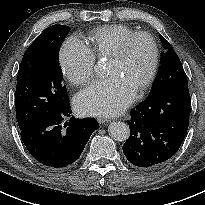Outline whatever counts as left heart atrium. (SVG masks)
Wrapping results in <instances>:
<instances>
[{"instance_id": "39dd6f15", "label": "left heart atrium", "mask_w": 205, "mask_h": 205, "mask_svg": "<svg viewBox=\"0 0 205 205\" xmlns=\"http://www.w3.org/2000/svg\"><path fill=\"white\" fill-rule=\"evenodd\" d=\"M135 97L136 89L128 81L119 76H111L79 92L74 106L80 115H115L129 106Z\"/></svg>"}]
</instances>
